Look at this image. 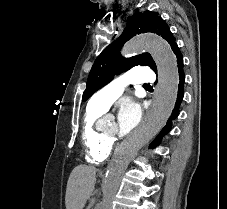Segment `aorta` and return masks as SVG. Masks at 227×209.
Masks as SVG:
<instances>
[{
    "label": "aorta",
    "instance_id": "aorta-1",
    "mask_svg": "<svg viewBox=\"0 0 227 209\" xmlns=\"http://www.w3.org/2000/svg\"><path fill=\"white\" fill-rule=\"evenodd\" d=\"M147 51L158 70V93L154 109L138 136L122 145L107 168L102 186L103 197L97 209H111L121 178L130 161L146 143L152 140L164 127L172 113L178 91V69L170 45L161 37L145 34L131 39L122 50L124 56Z\"/></svg>",
    "mask_w": 227,
    "mask_h": 209
}]
</instances>
